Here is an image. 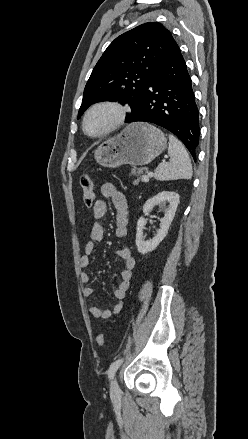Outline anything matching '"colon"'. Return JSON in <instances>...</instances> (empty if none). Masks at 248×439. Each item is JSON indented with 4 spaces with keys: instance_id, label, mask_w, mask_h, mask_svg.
Wrapping results in <instances>:
<instances>
[{
    "instance_id": "obj_1",
    "label": "colon",
    "mask_w": 248,
    "mask_h": 439,
    "mask_svg": "<svg viewBox=\"0 0 248 439\" xmlns=\"http://www.w3.org/2000/svg\"><path fill=\"white\" fill-rule=\"evenodd\" d=\"M80 186L83 193V202L86 207L90 208L93 206L95 201L94 183L93 179L88 174H83L80 177ZM96 342L100 347H105L106 339L103 333H100L96 337Z\"/></svg>"
}]
</instances>
